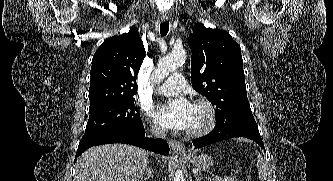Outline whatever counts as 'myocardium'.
Masks as SVG:
<instances>
[{"mask_svg":"<svg viewBox=\"0 0 333 181\" xmlns=\"http://www.w3.org/2000/svg\"><path fill=\"white\" fill-rule=\"evenodd\" d=\"M193 106L200 107L204 112L203 123L194 129H188L187 135L192 137L202 136L213 129L216 123V110L211 101L205 98L196 99Z\"/></svg>","mask_w":333,"mask_h":181,"instance_id":"obj_1","label":"myocardium"}]
</instances>
